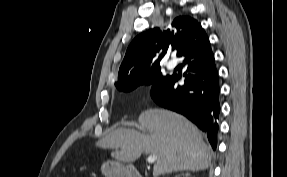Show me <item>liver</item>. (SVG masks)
Returning <instances> with one entry per match:
<instances>
[{
  "label": "liver",
  "mask_w": 287,
  "mask_h": 177,
  "mask_svg": "<svg viewBox=\"0 0 287 177\" xmlns=\"http://www.w3.org/2000/svg\"><path fill=\"white\" fill-rule=\"evenodd\" d=\"M139 130L117 128L98 142L102 148L114 150L111 156L132 163L141 154L157 157L154 177L162 174L209 167L212 151L199 129L183 116L162 109H149L138 118Z\"/></svg>",
  "instance_id": "1"
}]
</instances>
